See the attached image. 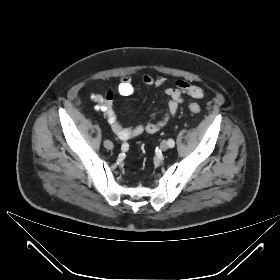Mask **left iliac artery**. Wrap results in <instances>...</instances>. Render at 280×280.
<instances>
[{"label":"left iliac artery","instance_id":"1","mask_svg":"<svg viewBox=\"0 0 280 280\" xmlns=\"http://www.w3.org/2000/svg\"><path fill=\"white\" fill-rule=\"evenodd\" d=\"M167 143L170 148H173L175 146V142L173 139H169Z\"/></svg>","mask_w":280,"mask_h":280}]
</instances>
